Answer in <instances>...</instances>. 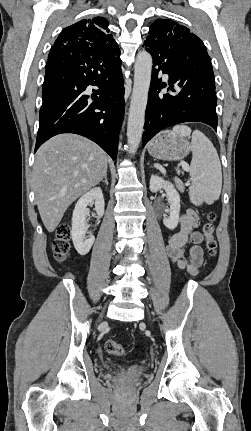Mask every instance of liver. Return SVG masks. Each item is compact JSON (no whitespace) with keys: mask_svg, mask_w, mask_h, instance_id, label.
Returning a JSON list of instances; mask_svg holds the SVG:
<instances>
[{"mask_svg":"<svg viewBox=\"0 0 251 431\" xmlns=\"http://www.w3.org/2000/svg\"><path fill=\"white\" fill-rule=\"evenodd\" d=\"M107 167L105 151L79 135H57L38 149L33 184L39 214L48 232L56 229L78 197L99 184Z\"/></svg>","mask_w":251,"mask_h":431,"instance_id":"obj_1","label":"liver"}]
</instances>
